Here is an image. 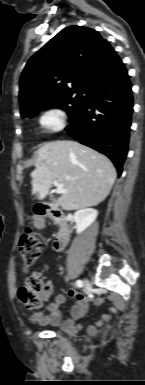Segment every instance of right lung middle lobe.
Wrapping results in <instances>:
<instances>
[{
	"label": "right lung middle lobe",
	"instance_id": "dd1d6c3e",
	"mask_svg": "<svg viewBox=\"0 0 145 385\" xmlns=\"http://www.w3.org/2000/svg\"><path fill=\"white\" fill-rule=\"evenodd\" d=\"M83 93L86 94V96H83ZM89 91L77 89L72 90L68 93H65L50 102H48L45 105L35 107L33 109L28 110L27 112L22 114V117H34L40 109H48V108H60L65 110L69 117L70 121L72 118L84 107L88 100Z\"/></svg>",
	"mask_w": 145,
	"mask_h": 385
}]
</instances>
